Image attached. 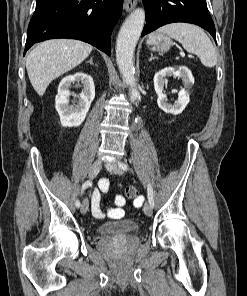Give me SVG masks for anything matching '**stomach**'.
Segmentation results:
<instances>
[{
	"mask_svg": "<svg viewBox=\"0 0 247 296\" xmlns=\"http://www.w3.org/2000/svg\"><path fill=\"white\" fill-rule=\"evenodd\" d=\"M146 43L152 51H158L161 53L167 52L172 45L171 39L162 33H153L149 35Z\"/></svg>",
	"mask_w": 247,
	"mask_h": 296,
	"instance_id": "0dacf381",
	"label": "stomach"
}]
</instances>
